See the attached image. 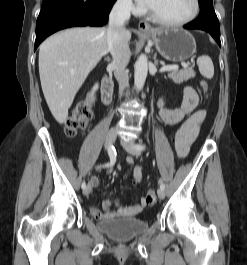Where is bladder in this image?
Instances as JSON below:
<instances>
[{"mask_svg":"<svg viewBox=\"0 0 247 265\" xmlns=\"http://www.w3.org/2000/svg\"><path fill=\"white\" fill-rule=\"evenodd\" d=\"M98 227L116 241H127L144 233L148 223L138 218H119L100 221Z\"/></svg>","mask_w":247,"mask_h":265,"instance_id":"obj_1","label":"bladder"}]
</instances>
